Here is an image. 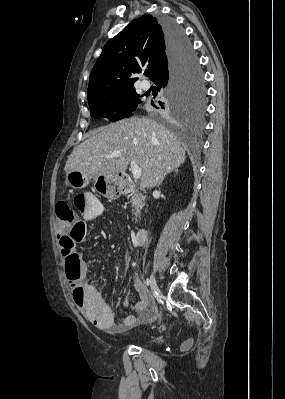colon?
Listing matches in <instances>:
<instances>
[{
    "mask_svg": "<svg viewBox=\"0 0 285 399\" xmlns=\"http://www.w3.org/2000/svg\"><path fill=\"white\" fill-rule=\"evenodd\" d=\"M87 203V194H77L72 203L61 202L57 205L58 231L60 237V247L62 257L67 263H71L76 258V245L86 237L82 224L77 221L74 209L82 210ZM68 283L77 292L78 301L83 299V288L78 282V274L68 271ZM187 345V344H186Z\"/></svg>",
    "mask_w": 285,
    "mask_h": 399,
    "instance_id": "colon-1",
    "label": "colon"
}]
</instances>
